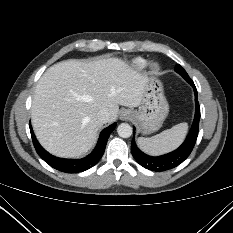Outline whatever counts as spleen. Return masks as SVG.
I'll return each instance as SVG.
<instances>
[{"label":"spleen","instance_id":"spleen-1","mask_svg":"<svg viewBox=\"0 0 233 233\" xmlns=\"http://www.w3.org/2000/svg\"><path fill=\"white\" fill-rule=\"evenodd\" d=\"M187 131L188 124L180 123L150 138L139 137L137 144L149 155H161L177 148L183 142Z\"/></svg>","mask_w":233,"mask_h":233}]
</instances>
